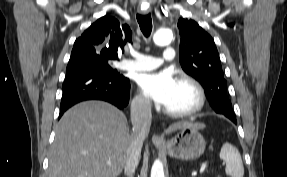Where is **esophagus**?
I'll use <instances>...</instances> for the list:
<instances>
[{
	"mask_svg": "<svg viewBox=\"0 0 287 177\" xmlns=\"http://www.w3.org/2000/svg\"><path fill=\"white\" fill-rule=\"evenodd\" d=\"M139 13L143 14V15H148L150 12H151V9H142V8H139ZM152 142L153 144L155 145H166V142L165 140L163 139V137L157 135V134H154L152 136Z\"/></svg>",
	"mask_w": 287,
	"mask_h": 177,
	"instance_id": "esophagus-1",
	"label": "esophagus"
}]
</instances>
